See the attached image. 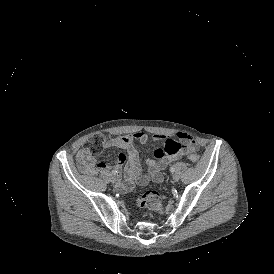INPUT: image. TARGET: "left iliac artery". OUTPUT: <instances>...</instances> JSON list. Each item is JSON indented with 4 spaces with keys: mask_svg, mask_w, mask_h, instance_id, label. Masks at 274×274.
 <instances>
[{
    "mask_svg": "<svg viewBox=\"0 0 274 274\" xmlns=\"http://www.w3.org/2000/svg\"><path fill=\"white\" fill-rule=\"evenodd\" d=\"M170 171H171V172H175V167L172 166V167L170 168Z\"/></svg>",
    "mask_w": 274,
    "mask_h": 274,
    "instance_id": "obj_1",
    "label": "left iliac artery"
}]
</instances>
